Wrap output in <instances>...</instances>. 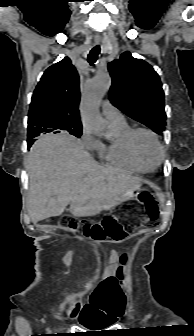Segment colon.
<instances>
[{"instance_id":"5ec220e1","label":"colon","mask_w":194,"mask_h":336,"mask_svg":"<svg viewBox=\"0 0 194 336\" xmlns=\"http://www.w3.org/2000/svg\"><path fill=\"white\" fill-rule=\"evenodd\" d=\"M143 214H139V211ZM158 218L157 202L149 192H140L135 200L128 201L114 215H107L102 222L95 224H76L71 218L64 217L62 226L81 228L85 235L96 241L109 239L114 242L124 240L135 228L153 225Z\"/></svg>"}]
</instances>
